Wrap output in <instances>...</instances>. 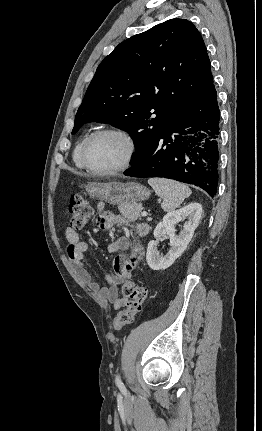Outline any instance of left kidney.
<instances>
[{
  "instance_id": "left-kidney-1",
  "label": "left kidney",
  "mask_w": 262,
  "mask_h": 431,
  "mask_svg": "<svg viewBox=\"0 0 262 431\" xmlns=\"http://www.w3.org/2000/svg\"><path fill=\"white\" fill-rule=\"evenodd\" d=\"M202 213L201 204L191 203L179 210L169 212L163 217L153 234L155 238L165 234L169 235L171 248L165 256H161L157 250L158 242L156 240L149 242L146 260L152 270L167 269L183 254L200 222ZM185 219H187V222L184 224L182 231L179 235H176V224Z\"/></svg>"
}]
</instances>
